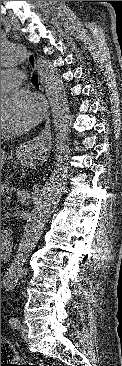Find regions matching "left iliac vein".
Here are the masks:
<instances>
[{
    "label": "left iliac vein",
    "mask_w": 122,
    "mask_h": 366,
    "mask_svg": "<svg viewBox=\"0 0 122 366\" xmlns=\"http://www.w3.org/2000/svg\"><path fill=\"white\" fill-rule=\"evenodd\" d=\"M22 336L24 337V339H26L27 333H28V327L25 325H21L18 327Z\"/></svg>",
    "instance_id": "obj_1"
}]
</instances>
